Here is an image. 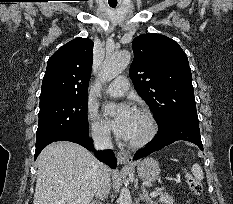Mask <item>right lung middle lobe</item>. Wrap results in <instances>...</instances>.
<instances>
[{"label": "right lung middle lobe", "instance_id": "obj_1", "mask_svg": "<svg viewBox=\"0 0 233 204\" xmlns=\"http://www.w3.org/2000/svg\"><path fill=\"white\" fill-rule=\"evenodd\" d=\"M88 97L40 101L36 146L73 132H88Z\"/></svg>", "mask_w": 233, "mask_h": 204}]
</instances>
